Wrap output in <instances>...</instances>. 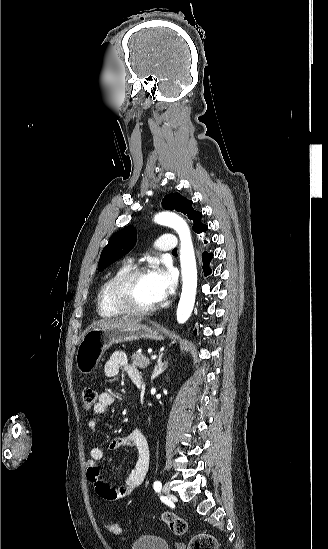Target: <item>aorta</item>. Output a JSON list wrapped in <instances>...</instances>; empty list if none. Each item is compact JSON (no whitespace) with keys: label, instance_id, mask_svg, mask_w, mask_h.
<instances>
[{"label":"aorta","instance_id":"aorta-1","mask_svg":"<svg viewBox=\"0 0 328 549\" xmlns=\"http://www.w3.org/2000/svg\"><path fill=\"white\" fill-rule=\"evenodd\" d=\"M155 222L176 230L180 237V263L182 270V293L177 308V321L185 323L194 307L197 288V268L191 234L187 223L177 214L161 212L155 216Z\"/></svg>","mask_w":328,"mask_h":549}]
</instances>
